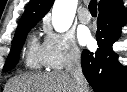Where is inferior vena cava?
<instances>
[{
	"mask_svg": "<svg viewBox=\"0 0 127 92\" xmlns=\"http://www.w3.org/2000/svg\"><path fill=\"white\" fill-rule=\"evenodd\" d=\"M66 72L76 83L77 92H85L87 82L81 68V55L78 49L72 48L68 57Z\"/></svg>",
	"mask_w": 127,
	"mask_h": 92,
	"instance_id": "obj_1",
	"label": "inferior vena cava"
}]
</instances>
